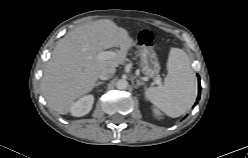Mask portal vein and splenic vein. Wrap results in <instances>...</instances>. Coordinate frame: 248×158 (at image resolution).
Listing matches in <instances>:
<instances>
[{"label": "portal vein and splenic vein", "mask_w": 248, "mask_h": 158, "mask_svg": "<svg viewBox=\"0 0 248 158\" xmlns=\"http://www.w3.org/2000/svg\"><path fill=\"white\" fill-rule=\"evenodd\" d=\"M97 57L102 60L113 59L115 57V52L113 51H102L97 54ZM157 84H161L160 79L156 80Z\"/></svg>", "instance_id": "1"}]
</instances>
